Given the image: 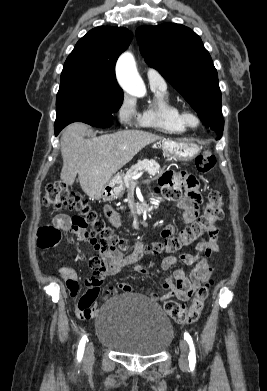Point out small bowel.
<instances>
[{
    "instance_id": "small-bowel-1",
    "label": "small bowel",
    "mask_w": 267,
    "mask_h": 391,
    "mask_svg": "<svg viewBox=\"0 0 267 391\" xmlns=\"http://www.w3.org/2000/svg\"><path fill=\"white\" fill-rule=\"evenodd\" d=\"M157 191L165 198L177 202V207L181 210V219L185 224H192L199 217V209L202 204V195L198 190V182L193 176L178 173L173 170H167L159 179ZM104 215L112 226L118 227L121 219L116 210L107 205L105 206ZM54 227L64 232H71L82 241H90V234L87 231V224L79 222L76 216L61 214L55 217ZM175 233V226L166 225L162 230L164 238L171 237ZM198 254L181 253L178 258L169 256L163 259L161 267L168 270L179 261L187 266H194L192 272L187 275L185 271L176 269L172 272L171 277L166 278L162 283L163 293H151L149 298L153 302H160L169 297H176L180 300H188L193 291L200 284L209 281L212 274V266L209 258L212 254L219 251V242L217 233L210 236L209 239H201L197 245ZM129 262L132 259L128 260ZM127 262L123 258L121 251L110 249L104 253L92 258L89 262L93 274L85 280L87 292L79 299L75 314L80 319H90L97 311V299L99 296L100 285L108 275L117 274ZM136 272L147 274L148 271L140 265H135ZM60 273L66 281L70 294L75 297L79 291L78 275L76 271L67 266L60 268ZM117 290L125 293L132 291V287L127 282H121L117 287H109L106 296L114 295Z\"/></svg>"
}]
</instances>
